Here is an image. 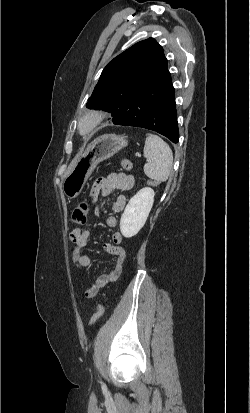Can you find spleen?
<instances>
[{"instance_id": "3e777b00", "label": "spleen", "mask_w": 250, "mask_h": 413, "mask_svg": "<svg viewBox=\"0 0 250 413\" xmlns=\"http://www.w3.org/2000/svg\"><path fill=\"white\" fill-rule=\"evenodd\" d=\"M144 157V173L147 177L164 182L168 179L173 166V153L169 145L159 136L146 134Z\"/></svg>"}]
</instances>
